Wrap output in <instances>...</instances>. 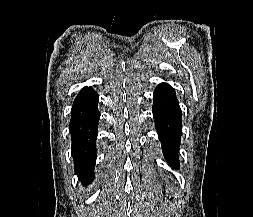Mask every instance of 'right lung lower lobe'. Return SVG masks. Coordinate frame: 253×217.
<instances>
[{
    "label": "right lung lower lobe",
    "instance_id": "right-lung-lower-lobe-1",
    "mask_svg": "<svg viewBox=\"0 0 253 217\" xmlns=\"http://www.w3.org/2000/svg\"><path fill=\"white\" fill-rule=\"evenodd\" d=\"M98 94L91 88L81 90L71 110L70 132L75 170L86 185L93 179L96 162V138L100 113L97 110Z\"/></svg>",
    "mask_w": 253,
    "mask_h": 217
}]
</instances>
